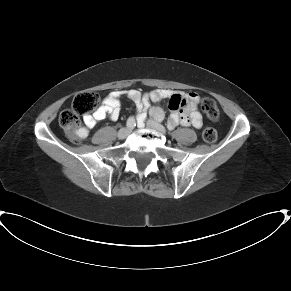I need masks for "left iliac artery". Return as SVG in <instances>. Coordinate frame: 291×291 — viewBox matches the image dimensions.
Masks as SVG:
<instances>
[{"label":"left iliac artery","instance_id":"obj_1","mask_svg":"<svg viewBox=\"0 0 291 291\" xmlns=\"http://www.w3.org/2000/svg\"><path fill=\"white\" fill-rule=\"evenodd\" d=\"M163 119L162 115L158 114L156 120L161 121Z\"/></svg>","mask_w":291,"mask_h":291}]
</instances>
